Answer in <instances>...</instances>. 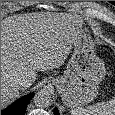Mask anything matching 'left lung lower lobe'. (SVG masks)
<instances>
[{
    "label": "left lung lower lobe",
    "mask_w": 115,
    "mask_h": 115,
    "mask_svg": "<svg viewBox=\"0 0 115 115\" xmlns=\"http://www.w3.org/2000/svg\"><path fill=\"white\" fill-rule=\"evenodd\" d=\"M54 115H59L58 110L56 108L54 109Z\"/></svg>",
    "instance_id": "left-lung-lower-lobe-1"
}]
</instances>
